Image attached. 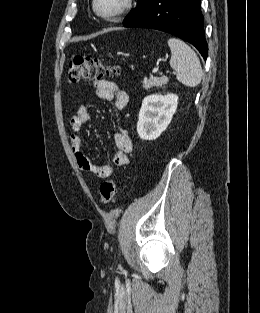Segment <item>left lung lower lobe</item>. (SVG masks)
Here are the masks:
<instances>
[{
    "label": "left lung lower lobe",
    "mask_w": 260,
    "mask_h": 313,
    "mask_svg": "<svg viewBox=\"0 0 260 313\" xmlns=\"http://www.w3.org/2000/svg\"><path fill=\"white\" fill-rule=\"evenodd\" d=\"M201 0H151L124 27L153 28L173 34L194 45L204 59L208 45L203 28Z\"/></svg>",
    "instance_id": "0a47b994"
}]
</instances>
